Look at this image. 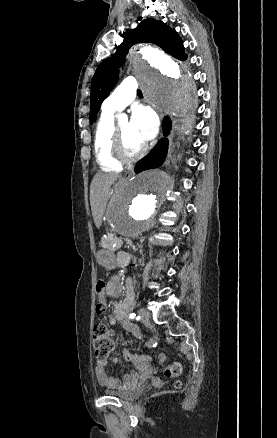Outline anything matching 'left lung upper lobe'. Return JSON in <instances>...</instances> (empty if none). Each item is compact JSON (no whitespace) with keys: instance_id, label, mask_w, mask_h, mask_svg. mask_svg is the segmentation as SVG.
Masks as SVG:
<instances>
[{"instance_id":"1","label":"left lung upper lobe","mask_w":277,"mask_h":438,"mask_svg":"<svg viewBox=\"0 0 277 438\" xmlns=\"http://www.w3.org/2000/svg\"><path fill=\"white\" fill-rule=\"evenodd\" d=\"M124 40L114 57L104 60L97 68L91 80L90 95V120L95 121L103 100L115 86L118 73L116 66L122 63L123 56L130 47L136 43H153L162 48L166 53L179 59L186 60L185 48L178 33L164 22L147 18L141 21L135 29L127 30L121 35Z\"/></svg>"}]
</instances>
